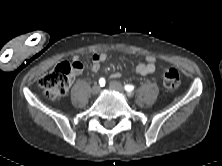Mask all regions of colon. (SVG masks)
Returning <instances> with one entry per match:
<instances>
[{
  "mask_svg": "<svg viewBox=\"0 0 222 166\" xmlns=\"http://www.w3.org/2000/svg\"><path fill=\"white\" fill-rule=\"evenodd\" d=\"M82 68L80 63L60 62L38 81L47 96L57 98L63 96L74 79L76 70ZM180 74L177 69L163 67V84L168 90H176L180 86Z\"/></svg>",
  "mask_w": 222,
  "mask_h": 166,
  "instance_id": "1",
  "label": "colon"
}]
</instances>
